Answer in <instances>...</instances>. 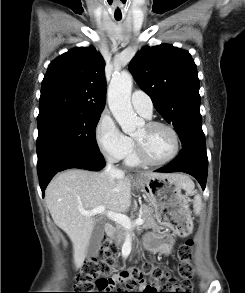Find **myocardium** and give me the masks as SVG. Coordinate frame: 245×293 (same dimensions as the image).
Wrapping results in <instances>:
<instances>
[{
	"instance_id": "1",
	"label": "myocardium",
	"mask_w": 245,
	"mask_h": 293,
	"mask_svg": "<svg viewBox=\"0 0 245 293\" xmlns=\"http://www.w3.org/2000/svg\"><path fill=\"white\" fill-rule=\"evenodd\" d=\"M145 126L147 128L162 127V128L167 129L173 137V151L167 158H165L163 160H159V161H154V160L149 159L144 154L140 144L138 143V141L136 139H134L135 153H136L138 159L142 163L147 164V165H151V166H161V165H165V164L173 161L178 156V154L180 152V137H179V134L176 131V129L169 124H166L163 122H157V121L148 122Z\"/></svg>"
}]
</instances>
